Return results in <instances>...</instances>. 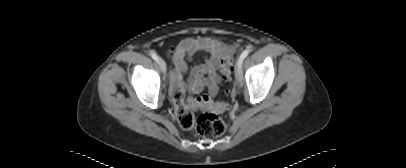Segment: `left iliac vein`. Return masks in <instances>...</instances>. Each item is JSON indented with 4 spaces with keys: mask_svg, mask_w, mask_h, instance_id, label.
Listing matches in <instances>:
<instances>
[{
    "mask_svg": "<svg viewBox=\"0 0 406 168\" xmlns=\"http://www.w3.org/2000/svg\"><path fill=\"white\" fill-rule=\"evenodd\" d=\"M235 78L238 83L243 82V75H242V63L238 61L236 70H235Z\"/></svg>",
    "mask_w": 406,
    "mask_h": 168,
    "instance_id": "4c4485c4",
    "label": "left iliac vein"
}]
</instances>
